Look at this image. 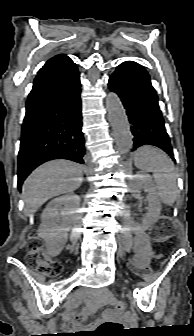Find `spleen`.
Instances as JSON below:
<instances>
[{"label":"spleen","instance_id":"1","mask_svg":"<svg viewBox=\"0 0 194 336\" xmlns=\"http://www.w3.org/2000/svg\"><path fill=\"white\" fill-rule=\"evenodd\" d=\"M134 163L142 171L153 173L161 200L173 205L178 196L177 175L167 154L158 148L143 146L135 153Z\"/></svg>","mask_w":194,"mask_h":336}]
</instances>
